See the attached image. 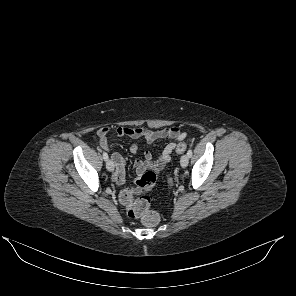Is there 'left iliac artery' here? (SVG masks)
<instances>
[{
  "instance_id": "44dca946",
  "label": "left iliac artery",
  "mask_w": 296,
  "mask_h": 296,
  "mask_svg": "<svg viewBox=\"0 0 296 296\" xmlns=\"http://www.w3.org/2000/svg\"><path fill=\"white\" fill-rule=\"evenodd\" d=\"M187 155H188L189 158L192 156V150L191 149L188 150Z\"/></svg>"
}]
</instances>
